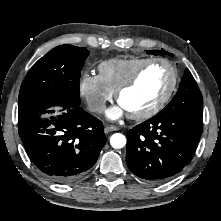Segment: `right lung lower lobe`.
I'll list each match as a JSON object with an SVG mask.
<instances>
[{"label":"right lung lower lobe","instance_id":"98d812e1","mask_svg":"<svg viewBox=\"0 0 221 221\" xmlns=\"http://www.w3.org/2000/svg\"><path fill=\"white\" fill-rule=\"evenodd\" d=\"M62 111L55 116L54 110H47L20 120L18 130L35 167L48 179L66 184L89 172L107 138L103 123L81 106H63Z\"/></svg>","mask_w":221,"mask_h":221}]
</instances>
